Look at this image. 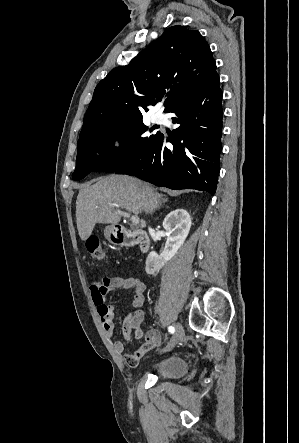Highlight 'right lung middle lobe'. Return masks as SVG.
<instances>
[{
	"label": "right lung middle lobe",
	"mask_w": 299,
	"mask_h": 443,
	"mask_svg": "<svg viewBox=\"0 0 299 443\" xmlns=\"http://www.w3.org/2000/svg\"><path fill=\"white\" fill-rule=\"evenodd\" d=\"M147 130L142 118H137L106 125L80 137L73 180L83 179L90 172H115L135 161L160 133L145 136ZM117 138L122 145L115 149L112 143Z\"/></svg>",
	"instance_id": "right-lung-middle-lobe-1"
}]
</instances>
